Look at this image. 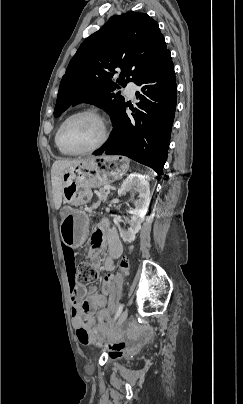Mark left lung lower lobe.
I'll return each mask as SVG.
<instances>
[{
	"instance_id": "1",
	"label": "left lung lower lobe",
	"mask_w": 243,
	"mask_h": 404,
	"mask_svg": "<svg viewBox=\"0 0 243 404\" xmlns=\"http://www.w3.org/2000/svg\"><path fill=\"white\" fill-rule=\"evenodd\" d=\"M135 84L141 101L137 104L144 112L137 110L133 118L125 113L113 123L111 137L95 155H125L153 168L158 175L167 159L170 135L177 101V84L170 51H168ZM142 93V94H141ZM142 122V124H141Z\"/></svg>"
}]
</instances>
